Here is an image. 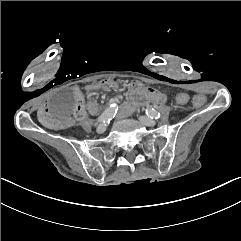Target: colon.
I'll use <instances>...</instances> for the list:
<instances>
[{"label": "colon", "instance_id": "obj_1", "mask_svg": "<svg viewBox=\"0 0 241 241\" xmlns=\"http://www.w3.org/2000/svg\"><path fill=\"white\" fill-rule=\"evenodd\" d=\"M80 91L77 89L74 93H73V96L75 97L76 99V109L75 111L73 112V117L76 119V121L78 122H81L83 121L84 119V115H85V101H84V98L82 95H80L79 93ZM176 101L178 102V104L180 106H187L189 104V101H190V97L189 95L186 93V92H178L176 94ZM193 104L198 107V108H201L204 106L205 104V98L203 95L201 94H198V95H195L193 97Z\"/></svg>", "mask_w": 241, "mask_h": 241}]
</instances>
